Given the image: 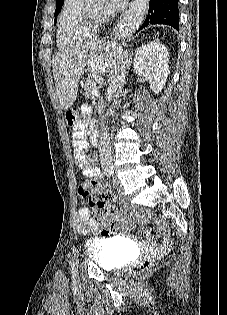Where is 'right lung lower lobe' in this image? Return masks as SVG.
<instances>
[{
  "instance_id": "obj_1",
  "label": "right lung lower lobe",
  "mask_w": 227,
  "mask_h": 315,
  "mask_svg": "<svg viewBox=\"0 0 227 315\" xmlns=\"http://www.w3.org/2000/svg\"><path fill=\"white\" fill-rule=\"evenodd\" d=\"M149 24H166L178 30V0H150L148 15L140 29Z\"/></svg>"
}]
</instances>
